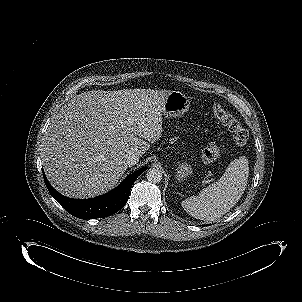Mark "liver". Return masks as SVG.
I'll use <instances>...</instances> for the list:
<instances>
[{
    "label": "liver",
    "mask_w": 302,
    "mask_h": 302,
    "mask_svg": "<svg viewBox=\"0 0 302 302\" xmlns=\"http://www.w3.org/2000/svg\"><path fill=\"white\" fill-rule=\"evenodd\" d=\"M170 92L93 90L73 97L46 136L42 160L51 185L74 198L112 189L128 168L126 155H143L161 137V111Z\"/></svg>",
    "instance_id": "liver-1"
}]
</instances>
